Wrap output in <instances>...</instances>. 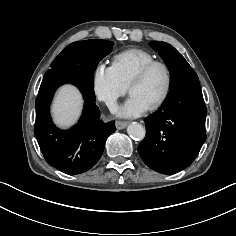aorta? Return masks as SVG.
<instances>
[{
  "instance_id": "aorta-1",
  "label": "aorta",
  "mask_w": 236,
  "mask_h": 236,
  "mask_svg": "<svg viewBox=\"0 0 236 236\" xmlns=\"http://www.w3.org/2000/svg\"><path fill=\"white\" fill-rule=\"evenodd\" d=\"M127 132L131 138L136 140L144 139L146 134L145 128L141 124L135 122L127 127Z\"/></svg>"
}]
</instances>
